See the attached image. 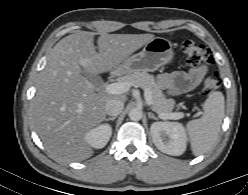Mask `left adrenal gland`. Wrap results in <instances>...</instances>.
<instances>
[{
	"label": "left adrenal gland",
	"mask_w": 248,
	"mask_h": 195,
	"mask_svg": "<svg viewBox=\"0 0 248 195\" xmlns=\"http://www.w3.org/2000/svg\"><path fill=\"white\" fill-rule=\"evenodd\" d=\"M148 117L152 118V119H155V120H158V118L151 112L148 113Z\"/></svg>",
	"instance_id": "1"
}]
</instances>
